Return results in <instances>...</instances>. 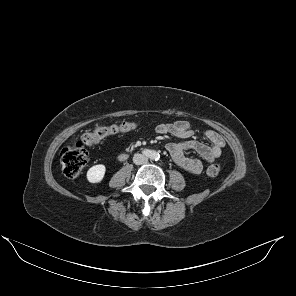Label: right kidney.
I'll list each match as a JSON object with an SVG mask.
<instances>
[{"label":"right kidney","mask_w":296,"mask_h":296,"mask_svg":"<svg viewBox=\"0 0 296 296\" xmlns=\"http://www.w3.org/2000/svg\"><path fill=\"white\" fill-rule=\"evenodd\" d=\"M106 172V167L103 164H98L95 166H92L88 171H87V180L90 183H100Z\"/></svg>","instance_id":"obj_1"}]
</instances>
